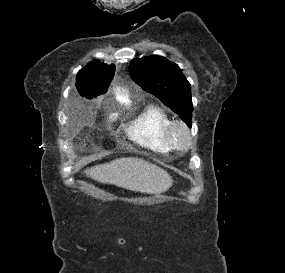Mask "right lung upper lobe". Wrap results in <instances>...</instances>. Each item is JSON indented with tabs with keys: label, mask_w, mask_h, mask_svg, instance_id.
<instances>
[{
	"label": "right lung upper lobe",
	"mask_w": 285,
	"mask_h": 273,
	"mask_svg": "<svg viewBox=\"0 0 285 273\" xmlns=\"http://www.w3.org/2000/svg\"><path fill=\"white\" fill-rule=\"evenodd\" d=\"M113 65L93 61L79 71L76 78V87L79 94L87 99L105 94L114 76Z\"/></svg>",
	"instance_id": "cb5924a9"
}]
</instances>
